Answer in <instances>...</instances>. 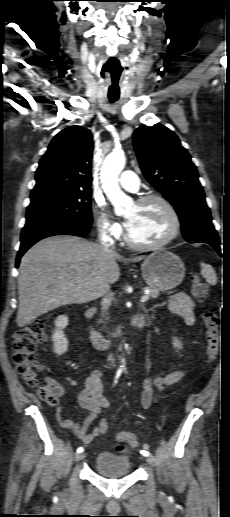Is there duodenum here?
Listing matches in <instances>:
<instances>
[{"label":"duodenum","instance_id":"1","mask_svg":"<svg viewBox=\"0 0 230 517\" xmlns=\"http://www.w3.org/2000/svg\"><path fill=\"white\" fill-rule=\"evenodd\" d=\"M96 311L97 309L94 306L86 310V326L94 346L99 350L106 351L113 345V340L105 337L99 330H97L93 325H91L90 321L92 317L95 315ZM144 323L145 317L143 315H137L131 320V326L134 329L141 328L144 325Z\"/></svg>","mask_w":230,"mask_h":517}]
</instances>
